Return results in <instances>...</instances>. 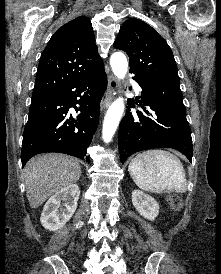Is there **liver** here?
<instances>
[{"label":"liver","mask_w":221,"mask_h":274,"mask_svg":"<svg viewBox=\"0 0 221 274\" xmlns=\"http://www.w3.org/2000/svg\"><path fill=\"white\" fill-rule=\"evenodd\" d=\"M81 176L78 160L49 153L29 160L24 168L26 195L32 208H38L61 189L76 183Z\"/></svg>","instance_id":"6515ba94"}]
</instances>
